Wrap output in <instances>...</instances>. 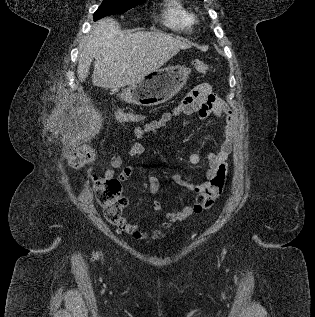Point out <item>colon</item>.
I'll return each mask as SVG.
<instances>
[{"instance_id":"1","label":"colon","mask_w":315,"mask_h":317,"mask_svg":"<svg viewBox=\"0 0 315 317\" xmlns=\"http://www.w3.org/2000/svg\"><path fill=\"white\" fill-rule=\"evenodd\" d=\"M198 73H205L211 69L210 65L202 60H195L192 63ZM139 116L125 114L119 117V122H135ZM95 157V151L91 147L75 148L72 152V161L76 164H85ZM95 191L98 202L104 209V215L113 224L121 225L122 213L127 205L126 198L121 193V182L118 179H107L96 177Z\"/></svg>"}]
</instances>
